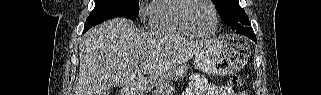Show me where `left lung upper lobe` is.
Listing matches in <instances>:
<instances>
[{
  "label": "left lung upper lobe",
  "mask_w": 321,
  "mask_h": 95,
  "mask_svg": "<svg viewBox=\"0 0 321 95\" xmlns=\"http://www.w3.org/2000/svg\"><path fill=\"white\" fill-rule=\"evenodd\" d=\"M218 9L220 17L232 29L250 25L244 9L239 6L238 0H212Z\"/></svg>",
  "instance_id": "obj_1"
}]
</instances>
